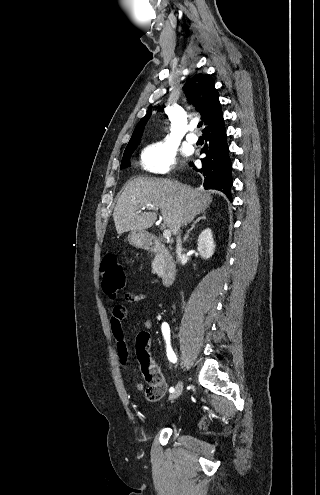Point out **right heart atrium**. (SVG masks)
<instances>
[{"label": "right heart atrium", "instance_id": "1", "mask_svg": "<svg viewBox=\"0 0 320 495\" xmlns=\"http://www.w3.org/2000/svg\"><path fill=\"white\" fill-rule=\"evenodd\" d=\"M176 163V149L166 140L150 143L141 152L142 168L154 174H168L174 169Z\"/></svg>", "mask_w": 320, "mask_h": 495}]
</instances>
